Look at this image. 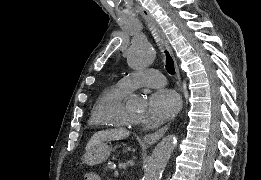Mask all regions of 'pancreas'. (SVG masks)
Returning a JSON list of instances; mask_svg holds the SVG:
<instances>
[{"label":"pancreas","mask_w":261,"mask_h":180,"mask_svg":"<svg viewBox=\"0 0 261 180\" xmlns=\"http://www.w3.org/2000/svg\"><path fill=\"white\" fill-rule=\"evenodd\" d=\"M113 163H114L113 159H107L106 162L104 163V165L102 166V169L104 170V175L105 176H110L111 175L110 166Z\"/></svg>","instance_id":"pancreas-1"}]
</instances>
